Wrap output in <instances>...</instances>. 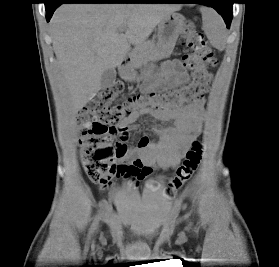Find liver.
Returning a JSON list of instances; mask_svg holds the SVG:
<instances>
[{
  "mask_svg": "<svg viewBox=\"0 0 279 267\" xmlns=\"http://www.w3.org/2000/svg\"><path fill=\"white\" fill-rule=\"evenodd\" d=\"M179 5L65 4L51 20L53 50L72 111L82 109L101 89L106 69L119 66L131 45L143 43ZM124 27L125 35L118 29Z\"/></svg>",
  "mask_w": 279,
  "mask_h": 267,
  "instance_id": "obj_1",
  "label": "liver"
}]
</instances>
